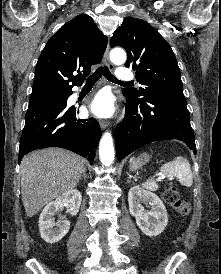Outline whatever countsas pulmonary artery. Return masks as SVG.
Masks as SVG:
<instances>
[{
	"label": "pulmonary artery",
	"instance_id": "e3ab8cb5",
	"mask_svg": "<svg viewBox=\"0 0 221 274\" xmlns=\"http://www.w3.org/2000/svg\"><path fill=\"white\" fill-rule=\"evenodd\" d=\"M116 77L120 81H130L133 79L134 75L133 72L125 67L118 68L116 72Z\"/></svg>",
	"mask_w": 221,
	"mask_h": 274
}]
</instances>
